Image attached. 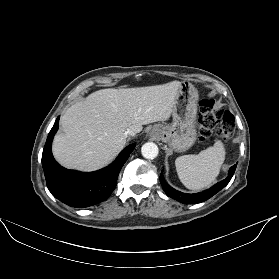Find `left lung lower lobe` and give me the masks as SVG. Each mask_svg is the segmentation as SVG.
Returning <instances> with one entry per match:
<instances>
[{
  "mask_svg": "<svg viewBox=\"0 0 279 279\" xmlns=\"http://www.w3.org/2000/svg\"><path fill=\"white\" fill-rule=\"evenodd\" d=\"M235 169H236V165H233L229 170L228 176L224 180H222L221 182H218L217 184L212 186L210 189L197 193V194H186V193H182V192L175 190L174 188H172L171 186L168 185V183L165 181L162 173L160 175V182L163 187V190L166 192V194L169 197H171L181 203H184V204H197V203L208 200L213 195H215L217 192H219L222 188H224L231 180V178L235 172Z\"/></svg>",
  "mask_w": 279,
  "mask_h": 279,
  "instance_id": "0a47b994",
  "label": "left lung lower lobe"
}]
</instances>
